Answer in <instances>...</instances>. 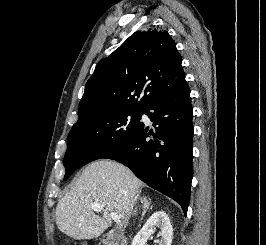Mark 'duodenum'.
<instances>
[{"label":"duodenum","mask_w":266,"mask_h":245,"mask_svg":"<svg viewBox=\"0 0 266 245\" xmlns=\"http://www.w3.org/2000/svg\"><path fill=\"white\" fill-rule=\"evenodd\" d=\"M105 245H126V243L119 235L110 233Z\"/></svg>","instance_id":"duodenum-1"}]
</instances>
